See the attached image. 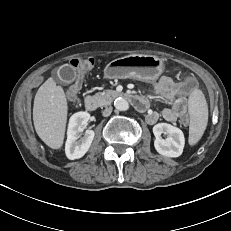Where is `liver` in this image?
<instances>
[{
    "label": "liver",
    "instance_id": "1",
    "mask_svg": "<svg viewBox=\"0 0 231 231\" xmlns=\"http://www.w3.org/2000/svg\"><path fill=\"white\" fill-rule=\"evenodd\" d=\"M68 103L64 90L53 78L38 89L33 106V122L40 139L52 149H60L65 138Z\"/></svg>",
    "mask_w": 231,
    "mask_h": 231
}]
</instances>
